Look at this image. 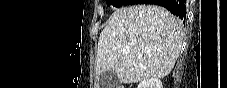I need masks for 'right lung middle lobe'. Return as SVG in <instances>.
Instances as JSON below:
<instances>
[{"mask_svg":"<svg viewBox=\"0 0 227 88\" xmlns=\"http://www.w3.org/2000/svg\"><path fill=\"white\" fill-rule=\"evenodd\" d=\"M108 5H113L114 7H121L123 5L138 3L137 0H106Z\"/></svg>","mask_w":227,"mask_h":88,"instance_id":"obj_1","label":"right lung middle lobe"}]
</instances>
